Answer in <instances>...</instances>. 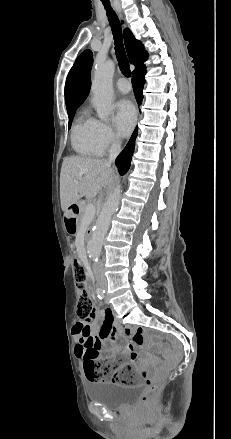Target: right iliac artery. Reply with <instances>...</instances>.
I'll list each match as a JSON object with an SVG mask.
<instances>
[{
    "label": "right iliac artery",
    "instance_id": "82829eb1",
    "mask_svg": "<svg viewBox=\"0 0 231 439\" xmlns=\"http://www.w3.org/2000/svg\"><path fill=\"white\" fill-rule=\"evenodd\" d=\"M96 294L99 299H103L105 297V290H103L102 288H97Z\"/></svg>",
    "mask_w": 231,
    "mask_h": 439
}]
</instances>
